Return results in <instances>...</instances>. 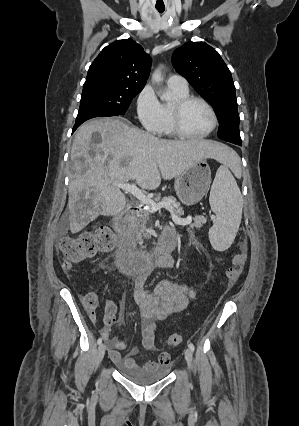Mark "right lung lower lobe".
<instances>
[{
    "label": "right lung lower lobe",
    "instance_id": "right-lung-lower-lobe-1",
    "mask_svg": "<svg viewBox=\"0 0 299 426\" xmlns=\"http://www.w3.org/2000/svg\"><path fill=\"white\" fill-rule=\"evenodd\" d=\"M102 116H117V115L109 113L105 110H100V109H89V110L80 112L77 115L76 122L72 132H74L86 120L94 118V117H102Z\"/></svg>",
    "mask_w": 299,
    "mask_h": 426
}]
</instances>
